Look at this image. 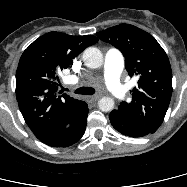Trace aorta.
<instances>
[{
    "label": "aorta",
    "mask_w": 187,
    "mask_h": 187,
    "mask_svg": "<svg viewBox=\"0 0 187 187\" xmlns=\"http://www.w3.org/2000/svg\"><path fill=\"white\" fill-rule=\"evenodd\" d=\"M84 64L92 69H96L103 64V55L96 47H88L82 55ZM98 107L103 112H109L114 109V100L111 97H102L98 101Z\"/></svg>",
    "instance_id": "1"
}]
</instances>
